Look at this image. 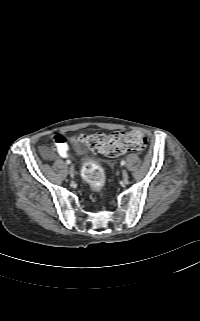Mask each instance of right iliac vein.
Masks as SVG:
<instances>
[{"label": "right iliac vein", "instance_id": "obj_1", "mask_svg": "<svg viewBox=\"0 0 200 321\" xmlns=\"http://www.w3.org/2000/svg\"><path fill=\"white\" fill-rule=\"evenodd\" d=\"M68 171H69V174L73 177L74 174H75L74 167H73V166H70L69 169H68Z\"/></svg>", "mask_w": 200, "mask_h": 321}]
</instances>
